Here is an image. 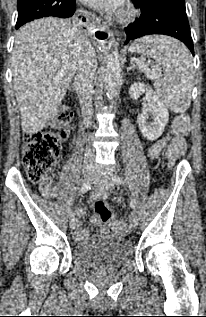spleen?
<instances>
[{
    "instance_id": "spleen-1",
    "label": "spleen",
    "mask_w": 206,
    "mask_h": 317,
    "mask_svg": "<svg viewBox=\"0 0 206 317\" xmlns=\"http://www.w3.org/2000/svg\"><path fill=\"white\" fill-rule=\"evenodd\" d=\"M131 52L153 58L164 72L154 83L157 96L173 112H185L191 102L193 64L189 50L179 41L166 36H147L135 40Z\"/></svg>"
}]
</instances>
